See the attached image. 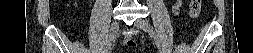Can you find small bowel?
Here are the masks:
<instances>
[{
    "label": "small bowel",
    "instance_id": "obj_1",
    "mask_svg": "<svg viewBox=\"0 0 253 53\" xmlns=\"http://www.w3.org/2000/svg\"><path fill=\"white\" fill-rule=\"evenodd\" d=\"M180 9V2L178 1L175 5L172 6L171 11L174 14H177Z\"/></svg>",
    "mask_w": 253,
    "mask_h": 53
}]
</instances>
